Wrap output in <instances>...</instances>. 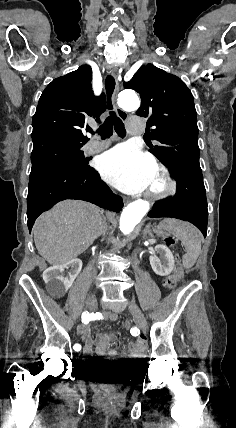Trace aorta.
I'll return each instance as SVG.
<instances>
[{
    "label": "aorta",
    "instance_id": "762f6f07",
    "mask_svg": "<svg viewBox=\"0 0 236 428\" xmlns=\"http://www.w3.org/2000/svg\"><path fill=\"white\" fill-rule=\"evenodd\" d=\"M118 103L125 111H134L140 106L139 98L133 90H123L120 92ZM149 209V203L141 199L136 200L125 207L122 211L119 222L121 232L124 235L130 234Z\"/></svg>",
    "mask_w": 236,
    "mask_h": 428
}]
</instances>
